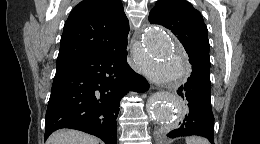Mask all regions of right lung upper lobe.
I'll return each mask as SVG.
<instances>
[{"label":"right lung upper lobe","mask_w":260,"mask_h":144,"mask_svg":"<svg viewBox=\"0 0 260 144\" xmlns=\"http://www.w3.org/2000/svg\"><path fill=\"white\" fill-rule=\"evenodd\" d=\"M128 32L120 0H83L65 22L57 66L124 48Z\"/></svg>","instance_id":"right-lung-upper-lobe-1"}]
</instances>
